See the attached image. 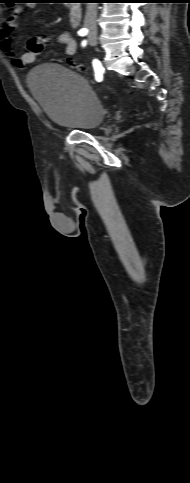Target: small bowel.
I'll return each mask as SVG.
<instances>
[{
    "instance_id": "small-bowel-1",
    "label": "small bowel",
    "mask_w": 190,
    "mask_h": 483,
    "mask_svg": "<svg viewBox=\"0 0 190 483\" xmlns=\"http://www.w3.org/2000/svg\"><path fill=\"white\" fill-rule=\"evenodd\" d=\"M24 6L16 7L5 19L0 28V49L9 59V61L17 67H25L33 63L38 55L50 45H64L65 52L68 56H73L77 50L75 39L69 32H61L57 35H48L45 37H38L27 42V51L18 57L14 54L10 37L17 27L19 16L24 10Z\"/></svg>"
}]
</instances>
